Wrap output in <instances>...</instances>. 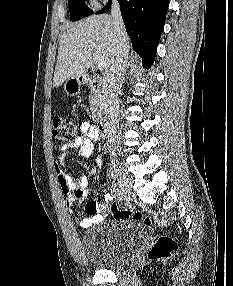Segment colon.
Here are the masks:
<instances>
[{
	"label": "colon",
	"instance_id": "5ec220e1",
	"mask_svg": "<svg viewBox=\"0 0 233 286\" xmlns=\"http://www.w3.org/2000/svg\"><path fill=\"white\" fill-rule=\"evenodd\" d=\"M79 120L75 115L56 116L53 119V135L56 139L64 143H71L76 138ZM111 212L117 218H131L151 224V218L133 207H118L117 204L111 205ZM177 250L176 242L168 237L161 236L153 244L148 252L150 260H166L171 258Z\"/></svg>",
	"mask_w": 233,
	"mask_h": 286
}]
</instances>
